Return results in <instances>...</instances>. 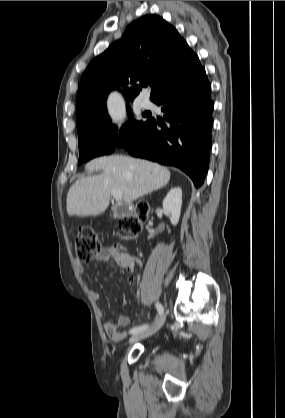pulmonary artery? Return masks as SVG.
<instances>
[{
  "instance_id": "obj_1",
  "label": "pulmonary artery",
  "mask_w": 285,
  "mask_h": 418,
  "mask_svg": "<svg viewBox=\"0 0 285 418\" xmlns=\"http://www.w3.org/2000/svg\"><path fill=\"white\" fill-rule=\"evenodd\" d=\"M141 106L145 110H150L153 108L154 105L149 99H143V101L141 102Z\"/></svg>"
}]
</instances>
